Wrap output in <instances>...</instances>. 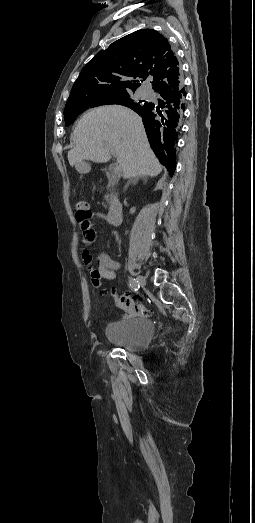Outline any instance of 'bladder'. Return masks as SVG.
Listing matches in <instances>:
<instances>
[{
	"instance_id": "bladder-1",
	"label": "bladder",
	"mask_w": 255,
	"mask_h": 523,
	"mask_svg": "<svg viewBox=\"0 0 255 523\" xmlns=\"http://www.w3.org/2000/svg\"><path fill=\"white\" fill-rule=\"evenodd\" d=\"M106 339L128 351H139L146 347L153 336V323L143 317H129L110 322Z\"/></svg>"
}]
</instances>
